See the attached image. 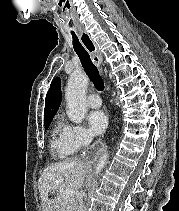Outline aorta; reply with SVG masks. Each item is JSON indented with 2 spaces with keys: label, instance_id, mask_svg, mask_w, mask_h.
Here are the masks:
<instances>
[{
  "label": "aorta",
  "instance_id": "1",
  "mask_svg": "<svg viewBox=\"0 0 179 211\" xmlns=\"http://www.w3.org/2000/svg\"><path fill=\"white\" fill-rule=\"evenodd\" d=\"M89 78L82 72L73 73L68 80L65 91V99L68 105L69 119L80 124L85 118L87 104L85 93L88 86ZM107 154H103L95 166V174L98 175L107 163Z\"/></svg>",
  "mask_w": 179,
  "mask_h": 211
}]
</instances>
